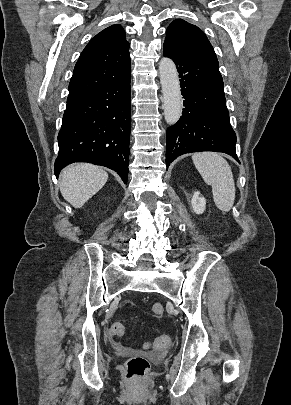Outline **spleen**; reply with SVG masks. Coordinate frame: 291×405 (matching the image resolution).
I'll list each match as a JSON object with an SVG mask.
<instances>
[{
  "mask_svg": "<svg viewBox=\"0 0 291 405\" xmlns=\"http://www.w3.org/2000/svg\"><path fill=\"white\" fill-rule=\"evenodd\" d=\"M192 160L205 183L212 186L217 208L224 212L229 211L234 204L236 189L228 162L213 152L194 154Z\"/></svg>",
  "mask_w": 291,
  "mask_h": 405,
  "instance_id": "1",
  "label": "spleen"
}]
</instances>
